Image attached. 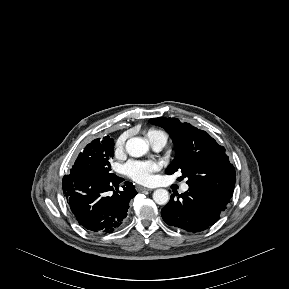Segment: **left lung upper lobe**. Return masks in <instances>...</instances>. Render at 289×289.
Returning <instances> with one entry per match:
<instances>
[{"label": "left lung upper lobe", "mask_w": 289, "mask_h": 289, "mask_svg": "<svg viewBox=\"0 0 289 289\" xmlns=\"http://www.w3.org/2000/svg\"><path fill=\"white\" fill-rule=\"evenodd\" d=\"M152 124L164 128L175 146V158L166 174L181 170L187 184L205 192L230 199L235 186V169L225 148L205 131L198 130L177 118H153Z\"/></svg>", "instance_id": "1"}]
</instances>
